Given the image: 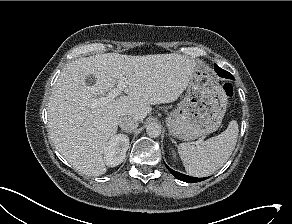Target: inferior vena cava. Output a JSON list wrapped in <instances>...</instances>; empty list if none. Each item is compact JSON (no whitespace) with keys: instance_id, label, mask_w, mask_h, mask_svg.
I'll list each match as a JSON object with an SVG mask.
<instances>
[{"instance_id":"1","label":"inferior vena cava","mask_w":292,"mask_h":224,"mask_svg":"<svg viewBox=\"0 0 292 224\" xmlns=\"http://www.w3.org/2000/svg\"><path fill=\"white\" fill-rule=\"evenodd\" d=\"M118 124L125 131H133L138 127V121L132 116H121L118 119Z\"/></svg>"}]
</instances>
